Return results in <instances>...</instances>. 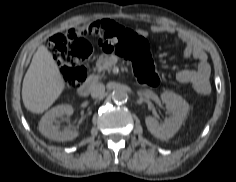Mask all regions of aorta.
I'll use <instances>...</instances> for the list:
<instances>
[{"label":"aorta","instance_id":"762f6f07","mask_svg":"<svg viewBox=\"0 0 236 182\" xmlns=\"http://www.w3.org/2000/svg\"><path fill=\"white\" fill-rule=\"evenodd\" d=\"M127 93L123 90H116L112 94V99L117 104H122L127 101Z\"/></svg>","mask_w":236,"mask_h":182}]
</instances>
